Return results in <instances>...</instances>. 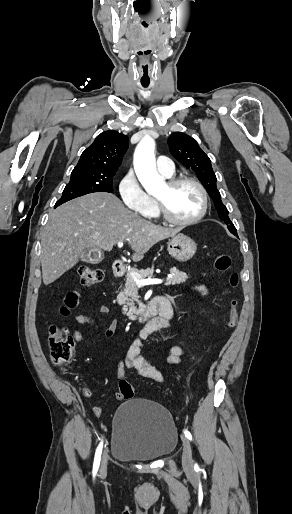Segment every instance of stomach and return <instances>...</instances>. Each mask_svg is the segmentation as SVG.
<instances>
[{"mask_svg": "<svg viewBox=\"0 0 292 514\" xmlns=\"http://www.w3.org/2000/svg\"><path fill=\"white\" fill-rule=\"evenodd\" d=\"M167 250L170 256L178 262H187L196 254L197 246L188 236L178 234L169 240Z\"/></svg>", "mask_w": 292, "mask_h": 514, "instance_id": "obj_1", "label": "stomach"}]
</instances>
